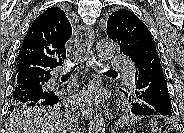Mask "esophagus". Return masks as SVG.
I'll return each mask as SVG.
<instances>
[{
	"mask_svg": "<svg viewBox=\"0 0 184 133\" xmlns=\"http://www.w3.org/2000/svg\"><path fill=\"white\" fill-rule=\"evenodd\" d=\"M94 37L95 33L91 27H87L85 25L79 26L76 33L77 53L90 64H93L94 61L92 52ZM80 110L83 117L87 120L92 118L95 111L89 104H81Z\"/></svg>",
	"mask_w": 184,
	"mask_h": 133,
	"instance_id": "esophagus-1",
	"label": "esophagus"
}]
</instances>
